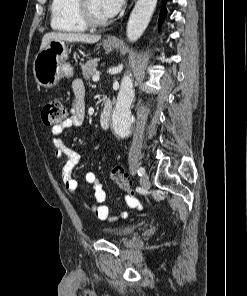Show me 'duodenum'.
<instances>
[{
	"label": "duodenum",
	"instance_id": "410a0bca",
	"mask_svg": "<svg viewBox=\"0 0 247 296\" xmlns=\"http://www.w3.org/2000/svg\"><path fill=\"white\" fill-rule=\"evenodd\" d=\"M112 102L109 98H104L99 121L102 129L108 131L111 126Z\"/></svg>",
	"mask_w": 247,
	"mask_h": 296
}]
</instances>
